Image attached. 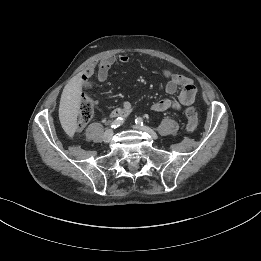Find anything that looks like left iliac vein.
I'll use <instances>...</instances> for the list:
<instances>
[{
  "mask_svg": "<svg viewBox=\"0 0 261 261\" xmlns=\"http://www.w3.org/2000/svg\"><path fill=\"white\" fill-rule=\"evenodd\" d=\"M133 128L148 133L153 139L158 138L157 134L151 128H149L147 126L134 125Z\"/></svg>",
  "mask_w": 261,
  "mask_h": 261,
  "instance_id": "4c4485c4",
  "label": "left iliac vein"
}]
</instances>
